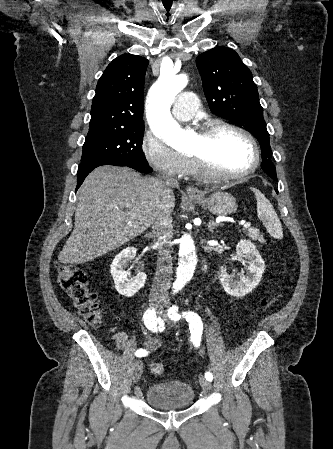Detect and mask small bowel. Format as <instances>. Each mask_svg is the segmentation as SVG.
I'll return each mask as SVG.
<instances>
[{
  "mask_svg": "<svg viewBox=\"0 0 333 449\" xmlns=\"http://www.w3.org/2000/svg\"><path fill=\"white\" fill-rule=\"evenodd\" d=\"M113 342L115 346L123 350L129 346V338L124 332H118L113 336ZM160 343L159 338H149V340L146 342L147 348H154Z\"/></svg>",
  "mask_w": 333,
  "mask_h": 449,
  "instance_id": "c3829d8e",
  "label": "small bowel"
}]
</instances>
